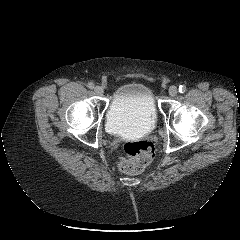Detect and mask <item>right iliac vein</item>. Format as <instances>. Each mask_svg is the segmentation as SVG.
<instances>
[{
	"label": "right iliac vein",
	"instance_id": "63e3f726",
	"mask_svg": "<svg viewBox=\"0 0 240 240\" xmlns=\"http://www.w3.org/2000/svg\"><path fill=\"white\" fill-rule=\"evenodd\" d=\"M94 92H95V94L101 96V95H103L104 90L101 86H95L94 87Z\"/></svg>",
	"mask_w": 240,
	"mask_h": 240
}]
</instances>
